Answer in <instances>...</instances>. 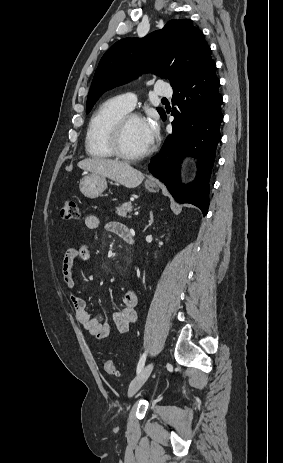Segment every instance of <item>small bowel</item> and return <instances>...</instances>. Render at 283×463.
<instances>
[{
	"instance_id": "1",
	"label": "small bowel",
	"mask_w": 283,
	"mask_h": 463,
	"mask_svg": "<svg viewBox=\"0 0 283 463\" xmlns=\"http://www.w3.org/2000/svg\"><path fill=\"white\" fill-rule=\"evenodd\" d=\"M88 229H96L99 226V218L96 215H88L85 219ZM107 230L125 240V236L130 233L129 229L122 223L113 221L106 226ZM91 256V249L88 245L69 248L62 261L63 282L70 294V299L74 308L76 320L98 340L110 337L113 326L103 321L98 316H93L87 309L86 301L75 292V265L78 261H86ZM124 307L117 310L113 317L116 330L123 334L127 333L131 326L136 322L135 306L137 295L133 289H127L123 293Z\"/></svg>"
}]
</instances>
